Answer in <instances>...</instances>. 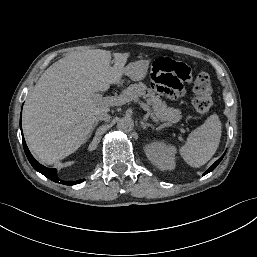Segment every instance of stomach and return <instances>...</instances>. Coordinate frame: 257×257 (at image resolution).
Segmentation results:
<instances>
[{
	"mask_svg": "<svg viewBox=\"0 0 257 257\" xmlns=\"http://www.w3.org/2000/svg\"><path fill=\"white\" fill-rule=\"evenodd\" d=\"M149 63V60H139L130 63L124 68L123 75L129 77L133 81L142 80L147 74Z\"/></svg>",
	"mask_w": 257,
	"mask_h": 257,
	"instance_id": "0dacf381",
	"label": "stomach"
}]
</instances>
